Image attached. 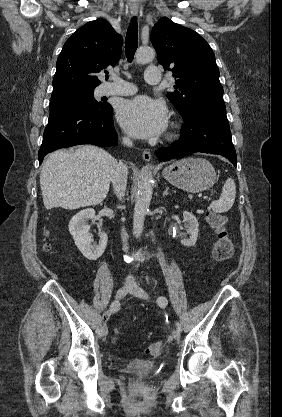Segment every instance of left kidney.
<instances>
[{
  "label": "left kidney",
  "instance_id": "left-kidney-1",
  "mask_svg": "<svg viewBox=\"0 0 282 417\" xmlns=\"http://www.w3.org/2000/svg\"><path fill=\"white\" fill-rule=\"evenodd\" d=\"M183 219L190 235V239H181V245H184V247H194L199 233V223L196 217H194L192 213H188V211H184Z\"/></svg>",
  "mask_w": 282,
  "mask_h": 417
}]
</instances>
